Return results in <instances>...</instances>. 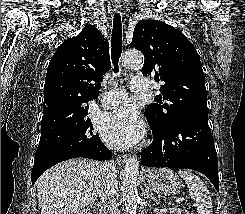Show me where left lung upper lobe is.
Wrapping results in <instances>:
<instances>
[{"label": "left lung upper lobe", "mask_w": 245, "mask_h": 214, "mask_svg": "<svg viewBox=\"0 0 245 214\" xmlns=\"http://www.w3.org/2000/svg\"><path fill=\"white\" fill-rule=\"evenodd\" d=\"M131 47L145 56L142 73L165 82L156 97L158 104L145 107L150 124L167 130L186 118L208 116L201 62L182 32L161 21L142 20L134 28Z\"/></svg>", "instance_id": "obj_1"}]
</instances>
